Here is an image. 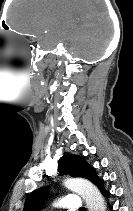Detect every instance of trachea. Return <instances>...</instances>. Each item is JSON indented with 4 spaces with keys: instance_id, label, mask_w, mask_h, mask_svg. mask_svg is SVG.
I'll return each instance as SVG.
<instances>
[{
    "instance_id": "3493384b",
    "label": "trachea",
    "mask_w": 133,
    "mask_h": 211,
    "mask_svg": "<svg viewBox=\"0 0 133 211\" xmlns=\"http://www.w3.org/2000/svg\"><path fill=\"white\" fill-rule=\"evenodd\" d=\"M80 211H86V209H85L84 207H82V208L80 209Z\"/></svg>"
}]
</instances>
